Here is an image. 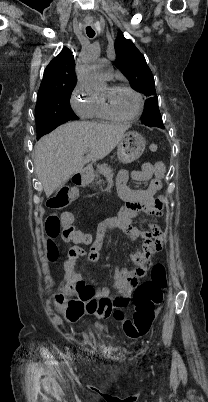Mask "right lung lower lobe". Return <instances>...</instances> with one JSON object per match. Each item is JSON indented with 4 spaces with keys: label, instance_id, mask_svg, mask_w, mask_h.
<instances>
[{
    "label": "right lung lower lobe",
    "instance_id": "obj_1",
    "mask_svg": "<svg viewBox=\"0 0 208 402\" xmlns=\"http://www.w3.org/2000/svg\"><path fill=\"white\" fill-rule=\"evenodd\" d=\"M63 123H65V122H63V121L60 122L59 120L52 118V119H47L44 121L37 122L36 126H37L38 131H40V132L42 131L44 134H47Z\"/></svg>",
    "mask_w": 208,
    "mask_h": 402
}]
</instances>
